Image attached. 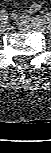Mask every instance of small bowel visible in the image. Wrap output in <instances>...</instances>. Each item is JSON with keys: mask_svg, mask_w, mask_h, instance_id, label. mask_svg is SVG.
Instances as JSON below:
<instances>
[{"mask_svg": "<svg viewBox=\"0 0 51 153\" xmlns=\"http://www.w3.org/2000/svg\"><path fill=\"white\" fill-rule=\"evenodd\" d=\"M6 1H12V0H6ZM42 8V3L41 2H36L31 4L26 8V13L27 14H33L37 11H39ZM19 15H13V18H17Z\"/></svg>", "mask_w": 51, "mask_h": 153, "instance_id": "obj_1", "label": "small bowel"}]
</instances>
